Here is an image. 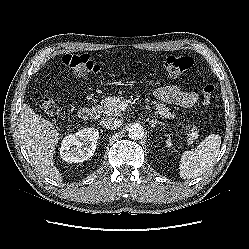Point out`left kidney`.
<instances>
[{
  "instance_id": "5707ae66",
  "label": "left kidney",
  "mask_w": 249,
  "mask_h": 249,
  "mask_svg": "<svg viewBox=\"0 0 249 249\" xmlns=\"http://www.w3.org/2000/svg\"><path fill=\"white\" fill-rule=\"evenodd\" d=\"M165 137L167 138L166 139V147L167 148H170L172 147V140H171V134H166Z\"/></svg>"
}]
</instances>
